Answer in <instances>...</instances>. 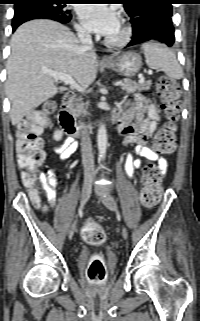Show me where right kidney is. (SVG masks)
Returning a JSON list of instances; mask_svg holds the SVG:
<instances>
[{"label": "right kidney", "instance_id": "ca27d5eb", "mask_svg": "<svg viewBox=\"0 0 200 321\" xmlns=\"http://www.w3.org/2000/svg\"><path fill=\"white\" fill-rule=\"evenodd\" d=\"M62 135H63L62 131L56 130L54 132L53 138H54V140L59 141V140H61Z\"/></svg>", "mask_w": 200, "mask_h": 321}]
</instances>
